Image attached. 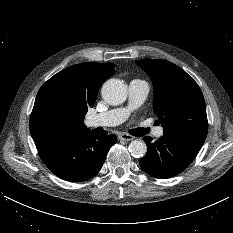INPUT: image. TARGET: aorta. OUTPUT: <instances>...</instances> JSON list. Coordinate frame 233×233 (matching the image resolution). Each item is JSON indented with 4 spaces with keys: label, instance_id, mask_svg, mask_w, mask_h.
<instances>
[{
    "label": "aorta",
    "instance_id": "762f6f07",
    "mask_svg": "<svg viewBox=\"0 0 233 233\" xmlns=\"http://www.w3.org/2000/svg\"><path fill=\"white\" fill-rule=\"evenodd\" d=\"M101 95L105 102L115 106L122 104L126 100L127 89L119 80L110 79L103 84ZM129 152L133 157H143L147 152V145L142 140H133L129 144Z\"/></svg>",
    "mask_w": 233,
    "mask_h": 233
}]
</instances>
